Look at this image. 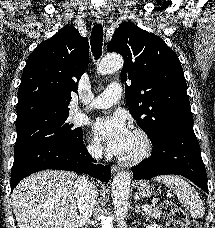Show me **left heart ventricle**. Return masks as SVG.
I'll return each mask as SVG.
<instances>
[{
  "instance_id": "1",
  "label": "left heart ventricle",
  "mask_w": 215,
  "mask_h": 228,
  "mask_svg": "<svg viewBox=\"0 0 215 228\" xmlns=\"http://www.w3.org/2000/svg\"><path fill=\"white\" fill-rule=\"evenodd\" d=\"M140 146H141L140 139L135 134H133L130 147L128 148L127 152L123 156H129L136 153L139 150Z\"/></svg>"
}]
</instances>
